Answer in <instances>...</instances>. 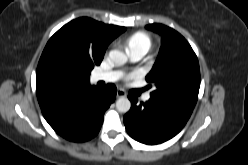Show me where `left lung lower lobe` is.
I'll return each instance as SVG.
<instances>
[{
	"instance_id": "left-lung-lower-lobe-1",
	"label": "left lung lower lobe",
	"mask_w": 248,
	"mask_h": 165,
	"mask_svg": "<svg viewBox=\"0 0 248 165\" xmlns=\"http://www.w3.org/2000/svg\"><path fill=\"white\" fill-rule=\"evenodd\" d=\"M131 109L124 116L128 134L135 140L149 145L165 142L185 126L193 108L182 104L150 98L137 104L138 99L129 96Z\"/></svg>"
}]
</instances>
